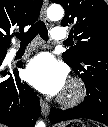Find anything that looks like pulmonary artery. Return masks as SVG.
<instances>
[{"mask_svg":"<svg viewBox=\"0 0 108 127\" xmlns=\"http://www.w3.org/2000/svg\"><path fill=\"white\" fill-rule=\"evenodd\" d=\"M51 36L54 40H63L66 38V32L63 28H54L52 30ZM16 50L13 51V54Z\"/></svg>","mask_w":108,"mask_h":127,"instance_id":"1","label":"pulmonary artery"}]
</instances>
